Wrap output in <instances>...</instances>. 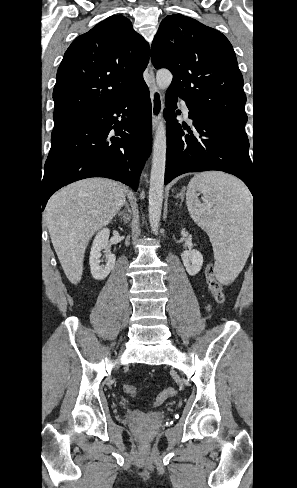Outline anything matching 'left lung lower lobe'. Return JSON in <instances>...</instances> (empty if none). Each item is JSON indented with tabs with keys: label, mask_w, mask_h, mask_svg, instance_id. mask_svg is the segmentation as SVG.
I'll return each instance as SVG.
<instances>
[{
	"label": "left lung lower lobe",
	"mask_w": 297,
	"mask_h": 488,
	"mask_svg": "<svg viewBox=\"0 0 297 488\" xmlns=\"http://www.w3.org/2000/svg\"><path fill=\"white\" fill-rule=\"evenodd\" d=\"M177 95L167 91L164 117L167 122L165 185L187 172L219 170L240 178L254 191L253 165L249 141L240 132L220 123L198 117L189 110L193 130L176 120ZM187 130L190 135H184ZM195 136H194V134Z\"/></svg>",
	"instance_id": "left-lung-lower-lobe-1"
}]
</instances>
